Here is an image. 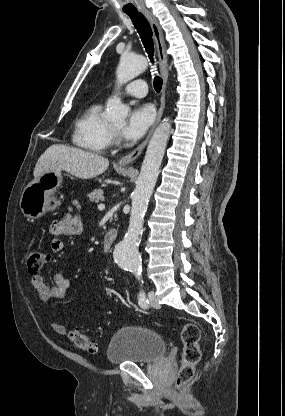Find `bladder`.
<instances>
[{"label":"bladder","instance_id":"obj_1","mask_svg":"<svg viewBox=\"0 0 285 416\" xmlns=\"http://www.w3.org/2000/svg\"><path fill=\"white\" fill-rule=\"evenodd\" d=\"M167 354V342L153 329L127 325L116 330L107 350L112 363H154Z\"/></svg>","mask_w":285,"mask_h":416}]
</instances>
